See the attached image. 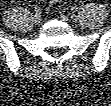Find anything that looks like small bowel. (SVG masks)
<instances>
[{"label":"small bowel","mask_w":111,"mask_h":106,"mask_svg":"<svg viewBox=\"0 0 111 106\" xmlns=\"http://www.w3.org/2000/svg\"><path fill=\"white\" fill-rule=\"evenodd\" d=\"M56 2H58V1L57 0H53V1H50V4L52 5V4L56 3Z\"/></svg>","instance_id":"obj_1"}]
</instances>
